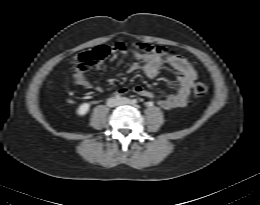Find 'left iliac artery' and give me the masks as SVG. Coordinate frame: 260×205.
Listing matches in <instances>:
<instances>
[{
	"mask_svg": "<svg viewBox=\"0 0 260 205\" xmlns=\"http://www.w3.org/2000/svg\"><path fill=\"white\" fill-rule=\"evenodd\" d=\"M131 103H132V104H137V100H136V99H132V100H131Z\"/></svg>",
	"mask_w": 260,
	"mask_h": 205,
	"instance_id": "left-iliac-artery-1",
	"label": "left iliac artery"
}]
</instances>
